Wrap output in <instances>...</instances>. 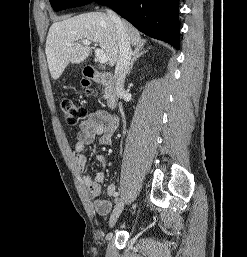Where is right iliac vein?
I'll return each mask as SVG.
<instances>
[{"mask_svg": "<svg viewBox=\"0 0 247 257\" xmlns=\"http://www.w3.org/2000/svg\"><path fill=\"white\" fill-rule=\"evenodd\" d=\"M125 206V198L123 196L119 197L116 201L115 208L110 216L109 227L113 228L116 224L120 214L122 213Z\"/></svg>", "mask_w": 247, "mask_h": 257, "instance_id": "1", "label": "right iliac vein"}]
</instances>
